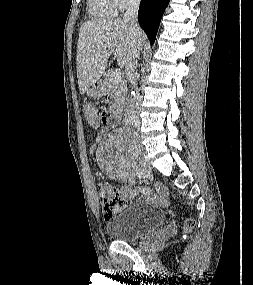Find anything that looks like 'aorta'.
<instances>
[{"label": "aorta", "instance_id": "obj_1", "mask_svg": "<svg viewBox=\"0 0 253 285\" xmlns=\"http://www.w3.org/2000/svg\"><path fill=\"white\" fill-rule=\"evenodd\" d=\"M133 96H134V92L132 93L131 98H130L128 104L130 103V101H131V99L133 98ZM128 104H127V105H128Z\"/></svg>", "mask_w": 253, "mask_h": 285}]
</instances>
